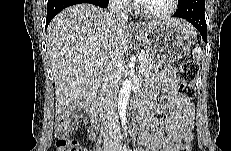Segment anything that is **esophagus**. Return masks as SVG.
<instances>
[{"instance_id":"esophagus-1","label":"esophagus","mask_w":231,"mask_h":151,"mask_svg":"<svg viewBox=\"0 0 231 151\" xmlns=\"http://www.w3.org/2000/svg\"><path fill=\"white\" fill-rule=\"evenodd\" d=\"M131 25H132L134 28L136 27V25H135L133 22L131 23Z\"/></svg>"}]
</instances>
